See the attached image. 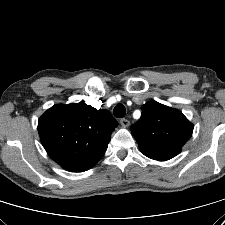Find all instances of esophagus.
I'll list each match as a JSON object with an SVG mask.
<instances>
[{
  "label": "esophagus",
  "mask_w": 225,
  "mask_h": 225,
  "mask_svg": "<svg viewBox=\"0 0 225 225\" xmlns=\"http://www.w3.org/2000/svg\"><path fill=\"white\" fill-rule=\"evenodd\" d=\"M120 123H121V125H122L123 127H128V126H130V121H129L128 119H125V118L121 119V120H120Z\"/></svg>",
  "instance_id": "esophagus-1"
}]
</instances>
